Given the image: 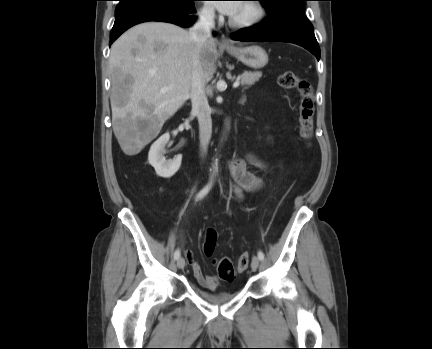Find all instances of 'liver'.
<instances>
[{"label": "liver", "instance_id": "liver-1", "mask_svg": "<svg viewBox=\"0 0 432 349\" xmlns=\"http://www.w3.org/2000/svg\"><path fill=\"white\" fill-rule=\"evenodd\" d=\"M194 55L205 80H210L218 58L213 39L198 48L187 30L148 22L132 27L113 43L109 57L112 125L126 155L138 154L156 138L188 99Z\"/></svg>", "mask_w": 432, "mask_h": 349}]
</instances>
